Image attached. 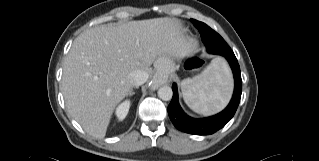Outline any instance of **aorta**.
Returning <instances> with one entry per match:
<instances>
[{"instance_id": "762f6f07", "label": "aorta", "mask_w": 319, "mask_h": 161, "mask_svg": "<svg viewBox=\"0 0 319 161\" xmlns=\"http://www.w3.org/2000/svg\"><path fill=\"white\" fill-rule=\"evenodd\" d=\"M173 95L172 89L169 86H162L158 90V96L164 101L171 100Z\"/></svg>"}]
</instances>
